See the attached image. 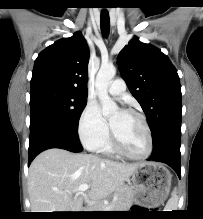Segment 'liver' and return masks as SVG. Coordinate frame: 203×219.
<instances>
[{"label":"liver","instance_id":"obj_1","mask_svg":"<svg viewBox=\"0 0 203 219\" xmlns=\"http://www.w3.org/2000/svg\"><path fill=\"white\" fill-rule=\"evenodd\" d=\"M139 164L102 159L92 154H74L48 149L31 163L28 193L32 212H80L83 200L99 201L121 188ZM88 184L87 194L74 190Z\"/></svg>","mask_w":203,"mask_h":219}]
</instances>
